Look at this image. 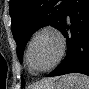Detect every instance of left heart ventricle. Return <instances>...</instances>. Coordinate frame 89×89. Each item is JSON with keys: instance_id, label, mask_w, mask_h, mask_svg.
I'll return each instance as SVG.
<instances>
[{"instance_id": "obj_1", "label": "left heart ventricle", "mask_w": 89, "mask_h": 89, "mask_svg": "<svg viewBox=\"0 0 89 89\" xmlns=\"http://www.w3.org/2000/svg\"><path fill=\"white\" fill-rule=\"evenodd\" d=\"M59 53V42L57 38L50 34L44 33L36 38L33 42L29 59L34 70H42L50 66Z\"/></svg>"}]
</instances>
